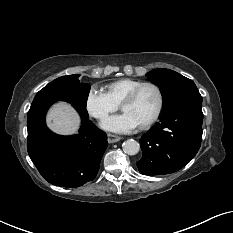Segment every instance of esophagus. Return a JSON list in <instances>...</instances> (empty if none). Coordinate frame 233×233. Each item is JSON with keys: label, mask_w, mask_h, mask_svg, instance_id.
<instances>
[{"label": "esophagus", "mask_w": 233, "mask_h": 233, "mask_svg": "<svg viewBox=\"0 0 233 233\" xmlns=\"http://www.w3.org/2000/svg\"><path fill=\"white\" fill-rule=\"evenodd\" d=\"M121 140L120 136H117L115 134H108V142L109 143H116Z\"/></svg>", "instance_id": "1"}]
</instances>
